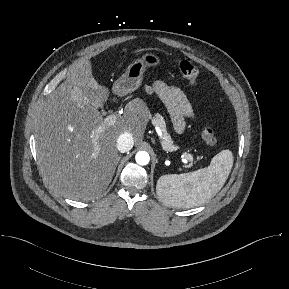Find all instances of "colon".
Here are the masks:
<instances>
[{"label": "colon", "instance_id": "colon-1", "mask_svg": "<svg viewBox=\"0 0 289 289\" xmlns=\"http://www.w3.org/2000/svg\"><path fill=\"white\" fill-rule=\"evenodd\" d=\"M178 70L180 75L187 80L191 85H195L198 81V69L196 66L185 58H181L178 61ZM202 139L209 146L215 147L218 145V140L214 135V131L211 127L207 126L202 130Z\"/></svg>", "mask_w": 289, "mask_h": 289}]
</instances>
